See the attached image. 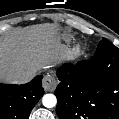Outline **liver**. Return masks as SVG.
I'll use <instances>...</instances> for the list:
<instances>
[{"label": "liver", "mask_w": 119, "mask_h": 119, "mask_svg": "<svg viewBox=\"0 0 119 119\" xmlns=\"http://www.w3.org/2000/svg\"><path fill=\"white\" fill-rule=\"evenodd\" d=\"M59 25L38 24L24 28L0 39V81L10 83L23 73L50 67L62 50Z\"/></svg>", "instance_id": "obj_1"}]
</instances>
